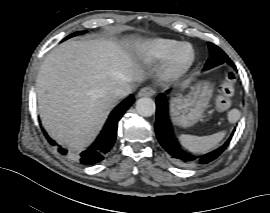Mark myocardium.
Returning a JSON list of instances; mask_svg holds the SVG:
<instances>
[{
  "mask_svg": "<svg viewBox=\"0 0 270 213\" xmlns=\"http://www.w3.org/2000/svg\"><path fill=\"white\" fill-rule=\"evenodd\" d=\"M187 53L182 54L183 49ZM195 60V49L188 42H181L175 45L162 67V77L164 79H178L183 76L192 66Z\"/></svg>",
  "mask_w": 270,
  "mask_h": 213,
  "instance_id": "1",
  "label": "myocardium"
}]
</instances>
